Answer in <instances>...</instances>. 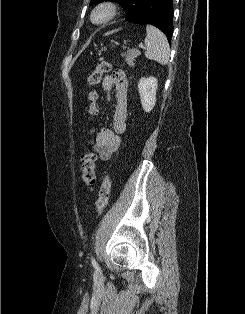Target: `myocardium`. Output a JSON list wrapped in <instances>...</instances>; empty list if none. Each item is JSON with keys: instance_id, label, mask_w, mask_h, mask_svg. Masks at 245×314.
<instances>
[{"instance_id": "obj_1", "label": "myocardium", "mask_w": 245, "mask_h": 314, "mask_svg": "<svg viewBox=\"0 0 245 314\" xmlns=\"http://www.w3.org/2000/svg\"><path fill=\"white\" fill-rule=\"evenodd\" d=\"M104 12L105 17L98 21L95 19L96 14ZM118 13V5L111 0H106L98 3L91 12V21L95 24H105L113 20Z\"/></svg>"}]
</instances>
